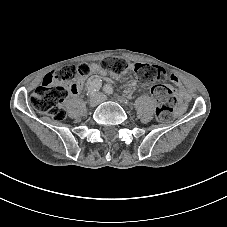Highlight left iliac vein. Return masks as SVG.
I'll return each mask as SVG.
<instances>
[{
  "label": "left iliac vein",
  "mask_w": 227,
  "mask_h": 227,
  "mask_svg": "<svg viewBox=\"0 0 227 227\" xmlns=\"http://www.w3.org/2000/svg\"><path fill=\"white\" fill-rule=\"evenodd\" d=\"M97 96L100 98L101 102L108 100V97L102 93H98Z\"/></svg>",
  "instance_id": "4c4485c4"
}]
</instances>
